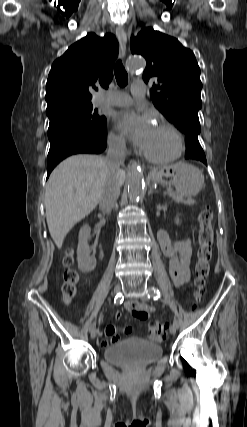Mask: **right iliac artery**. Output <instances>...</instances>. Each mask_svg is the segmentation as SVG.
<instances>
[{
  "label": "right iliac artery",
  "instance_id": "1",
  "mask_svg": "<svg viewBox=\"0 0 247 427\" xmlns=\"http://www.w3.org/2000/svg\"><path fill=\"white\" fill-rule=\"evenodd\" d=\"M123 300H124L123 295H122L121 293H118V294L115 296L114 304H121V303L123 302ZM95 326H96V323H95V322L91 323V324H90V327H89V330H91V329H92V328H94Z\"/></svg>",
  "mask_w": 247,
  "mask_h": 427
}]
</instances>
